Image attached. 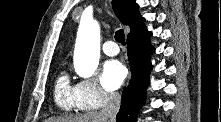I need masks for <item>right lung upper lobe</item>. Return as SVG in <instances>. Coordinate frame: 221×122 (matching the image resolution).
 <instances>
[{
    "instance_id": "1",
    "label": "right lung upper lobe",
    "mask_w": 221,
    "mask_h": 122,
    "mask_svg": "<svg viewBox=\"0 0 221 122\" xmlns=\"http://www.w3.org/2000/svg\"><path fill=\"white\" fill-rule=\"evenodd\" d=\"M112 4L121 23L130 27L131 31L128 36L139 32L145 27L144 19L139 13V6L135 0H113Z\"/></svg>"
}]
</instances>
